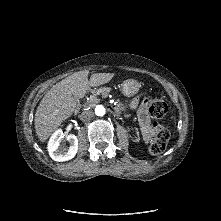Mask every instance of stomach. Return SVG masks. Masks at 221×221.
<instances>
[{"mask_svg": "<svg viewBox=\"0 0 221 221\" xmlns=\"http://www.w3.org/2000/svg\"><path fill=\"white\" fill-rule=\"evenodd\" d=\"M140 86L141 85L137 80L128 79L122 84V92L127 97H133L138 93Z\"/></svg>", "mask_w": 221, "mask_h": 221, "instance_id": "obj_1", "label": "stomach"}]
</instances>
